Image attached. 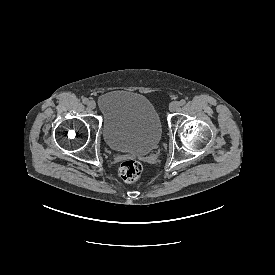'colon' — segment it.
Returning a JSON list of instances; mask_svg holds the SVG:
<instances>
[{"mask_svg": "<svg viewBox=\"0 0 275 275\" xmlns=\"http://www.w3.org/2000/svg\"><path fill=\"white\" fill-rule=\"evenodd\" d=\"M142 172V165L139 161L130 159L125 160L119 167V175L125 182H134L137 180Z\"/></svg>", "mask_w": 275, "mask_h": 275, "instance_id": "5ec220e1", "label": "colon"}]
</instances>
